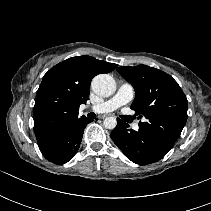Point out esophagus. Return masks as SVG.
I'll return each instance as SVG.
<instances>
[{"label": "esophagus", "instance_id": "34e87169", "mask_svg": "<svg viewBox=\"0 0 211 211\" xmlns=\"http://www.w3.org/2000/svg\"><path fill=\"white\" fill-rule=\"evenodd\" d=\"M108 115H102L101 116V119H104V118H106Z\"/></svg>", "mask_w": 211, "mask_h": 211}]
</instances>
